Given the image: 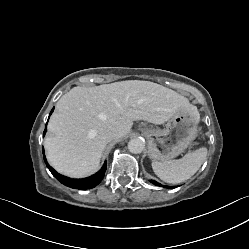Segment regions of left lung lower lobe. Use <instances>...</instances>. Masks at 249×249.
Wrapping results in <instances>:
<instances>
[{
  "mask_svg": "<svg viewBox=\"0 0 249 249\" xmlns=\"http://www.w3.org/2000/svg\"><path fill=\"white\" fill-rule=\"evenodd\" d=\"M152 183H153L154 185H157V186H162L161 184L157 183L156 181H152ZM168 188H174V187L168 186Z\"/></svg>",
  "mask_w": 249,
  "mask_h": 249,
  "instance_id": "obj_1",
  "label": "left lung lower lobe"
}]
</instances>
